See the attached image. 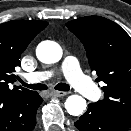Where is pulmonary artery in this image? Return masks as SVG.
<instances>
[{
    "instance_id": "pulmonary-artery-1",
    "label": "pulmonary artery",
    "mask_w": 131,
    "mask_h": 131,
    "mask_svg": "<svg viewBox=\"0 0 131 131\" xmlns=\"http://www.w3.org/2000/svg\"><path fill=\"white\" fill-rule=\"evenodd\" d=\"M62 71L70 84L83 96L95 99L99 95L97 86L81 71L77 59L67 56L62 63ZM54 71L45 70L33 72L27 75L29 82H41L50 79Z\"/></svg>"
}]
</instances>
